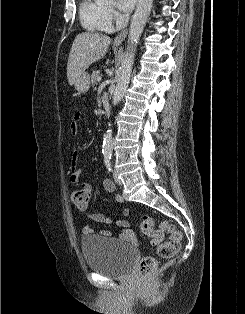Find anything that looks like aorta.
<instances>
[{
  "label": "aorta",
  "mask_w": 245,
  "mask_h": 314,
  "mask_svg": "<svg viewBox=\"0 0 245 314\" xmlns=\"http://www.w3.org/2000/svg\"><path fill=\"white\" fill-rule=\"evenodd\" d=\"M153 0H138L136 11L132 17L129 29L128 51L121 63L120 77L113 94L112 104L117 105L123 98L130 81L136 46L151 13ZM110 125V124H109ZM113 150L112 130L108 129L103 139L102 152L110 155Z\"/></svg>",
  "instance_id": "1"
}]
</instances>
